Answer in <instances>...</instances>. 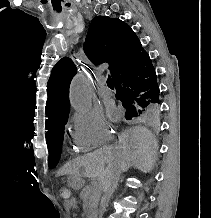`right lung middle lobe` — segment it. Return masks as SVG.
I'll return each mask as SVG.
<instances>
[{
  "label": "right lung middle lobe",
  "instance_id": "1",
  "mask_svg": "<svg viewBox=\"0 0 211 218\" xmlns=\"http://www.w3.org/2000/svg\"><path fill=\"white\" fill-rule=\"evenodd\" d=\"M122 102V106L126 110V119L137 117L141 114L155 113L159 110L160 101L151 103L145 100L120 97L117 98ZM68 115L62 117L58 122L54 124L52 130L46 135L47 146L49 150V168H54L59 159L62 150L64 126L67 123Z\"/></svg>",
  "mask_w": 211,
  "mask_h": 218
}]
</instances>
